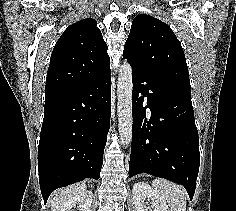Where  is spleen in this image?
I'll return each mask as SVG.
<instances>
[{
  "instance_id": "3e777b00",
  "label": "spleen",
  "mask_w": 236,
  "mask_h": 211,
  "mask_svg": "<svg viewBox=\"0 0 236 211\" xmlns=\"http://www.w3.org/2000/svg\"><path fill=\"white\" fill-rule=\"evenodd\" d=\"M152 186L167 201L171 211H186L187 192L182 186L161 178L155 179Z\"/></svg>"
}]
</instances>
